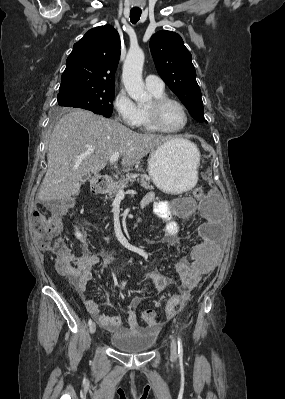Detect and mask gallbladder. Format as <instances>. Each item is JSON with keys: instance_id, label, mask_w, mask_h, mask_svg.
Returning <instances> with one entry per match:
<instances>
[{"instance_id": "obj_1", "label": "gallbladder", "mask_w": 285, "mask_h": 399, "mask_svg": "<svg viewBox=\"0 0 285 399\" xmlns=\"http://www.w3.org/2000/svg\"><path fill=\"white\" fill-rule=\"evenodd\" d=\"M89 179H90V175L84 177V181L89 180Z\"/></svg>"}]
</instances>
